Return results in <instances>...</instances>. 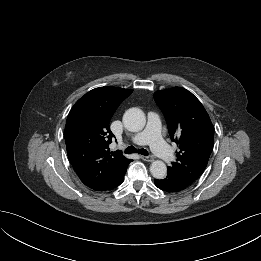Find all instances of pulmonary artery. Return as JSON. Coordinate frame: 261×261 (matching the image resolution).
Wrapping results in <instances>:
<instances>
[{"label":"pulmonary artery","mask_w":261,"mask_h":261,"mask_svg":"<svg viewBox=\"0 0 261 261\" xmlns=\"http://www.w3.org/2000/svg\"><path fill=\"white\" fill-rule=\"evenodd\" d=\"M135 144H150L154 153L164 162L169 163L173 159L172 152L161 137V123L156 113L148 114L146 128L132 137Z\"/></svg>","instance_id":"1"}]
</instances>
